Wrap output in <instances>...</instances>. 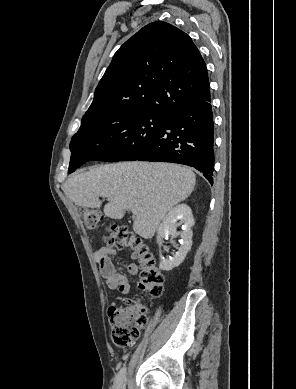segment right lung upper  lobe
Listing matches in <instances>:
<instances>
[{"mask_svg":"<svg viewBox=\"0 0 296 389\" xmlns=\"http://www.w3.org/2000/svg\"><path fill=\"white\" fill-rule=\"evenodd\" d=\"M208 98V72L199 50L186 33L157 21L115 53L83 118L121 108L168 116Z\"/></svg>","mask_w":296,"mask_h":389,"instance_id":"1","label":"right lung upper lobe"}]
</instances>
